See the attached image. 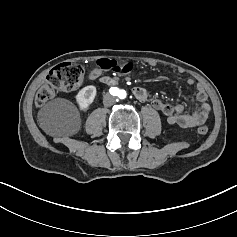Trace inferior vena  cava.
I'll list each match as a JSON object with an SVG mask.
<instances>
[{"label":"inferior vena cava","instance_id":"1","mask_svg":"<svg viewBox=\"0 0 237 237\" xmlns=\"http://www.w3.org/2000/svg\"><path fill=\"white\" fill-rule=\"evenodd\" d=\"M116 101V98L111 94H106L103 100V103L106 107L110 106L112 103Z\"/></svg>","mask_w":237,"mask_h":237}]
</instances>
